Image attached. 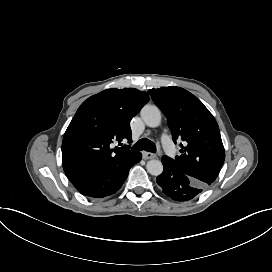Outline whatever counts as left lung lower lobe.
Listing matches in <instances>:
<instances>
[{
	"label": "left lung lower lobe",
	"mask_w": 272,
	"mask_h": 272,
	"mask_svg": "<svg viewBox=\"0 0 272 272\" xmlns=\"http://www.w3.org/2000/svg\"><path fill=\"white\" fill-rule=\"evenodd\" d=\"M164 170L156 178L163 192L175 201H188L201 193L207 185L201 184L192 177L181 172L169 160L162 157Z\"/></svg>",
	"instance_id": "left-lung-lower-lobe-1"
}]
</instances>
